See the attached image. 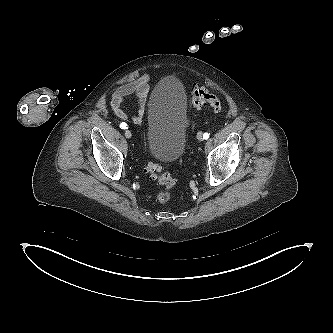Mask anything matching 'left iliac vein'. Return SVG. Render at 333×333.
I'll return each mask as SVG.
<instances>
[{"mask_svg": "<svg viewBox=\"0 0 333 333\" xmlns=\"http://www.w3.org/2000/svg\"><path fill=\"white\" fill-rule=\"evenodd\" d=\"M197 139L199 140V141H202L204 138H203V133L202 132H198V134H197Z\"/></svg>", "mask_w": 333, "mask_h": 333, "instance_id": "4c4485c4", "label": "left iliac vein"}]
</instances>
